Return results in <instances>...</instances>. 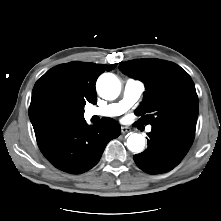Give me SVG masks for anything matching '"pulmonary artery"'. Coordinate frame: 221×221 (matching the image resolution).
Listing matches in <instances>:
<instances>
[{
	"mask_svg": "<svg viewBox=\"0 0 221 221\" xmlns=\"http://www.w3.org/2000/svg\"><path fill=\"white\" fill-rule=\"evenodd\" d=\"M145 90L144 83L139 80H128L123 88V97L119 102L110 103L102 107L90 108L87 111L89 117H117L132 107L142 96ZM151 126L147 127V131H151Z\"/></svg>",
	"mask_w": 221,
	"mask_h": 221,
	"instance_id": "obj_1",
	"label": "pulmonary artery"
}]
</instances>
